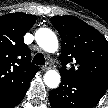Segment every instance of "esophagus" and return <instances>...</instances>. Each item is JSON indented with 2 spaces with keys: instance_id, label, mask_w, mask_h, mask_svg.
<instances>
[{
  "instance_id": "obj_1",
  "label": "esophagus",
  "mask_w": 108,
  "mask_h": 108,
  "mask_svg": "<svg viewBox=\"0 0 108 108\" xmlns=\"http://www.w3.org/2000/svg\"><path fill=\"white\" fill-rule=\"evenodd\" d=\"M49 68V63H47L46 65L42 66L41 69L43 71H46Z\"/></svg>"
}]
</instances>
